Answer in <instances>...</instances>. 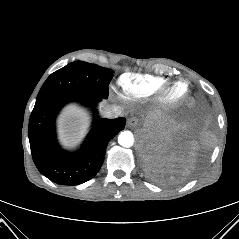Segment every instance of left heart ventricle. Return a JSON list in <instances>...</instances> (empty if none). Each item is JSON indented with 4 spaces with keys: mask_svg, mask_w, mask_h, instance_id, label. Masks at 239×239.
Returning a JSON list of instances; mask_svg holds the SVG:
<instances>
[{
    "mask_svg": "<svg viewBox=\"0 0 239 239\" xmlns=\"http://www.w3.org/2000/svg\"><path fill=\"white\" fill-rule=\"evenodd\" d=\"M183 92V88H177L175 91H174V96H178L180 95L181 93Z\"/></svg>",
    "mask_w": 239,
    "mask_h": 239,
    "instance_id": "1",
    "label": "left heart ventricle"
}]
</instances>
